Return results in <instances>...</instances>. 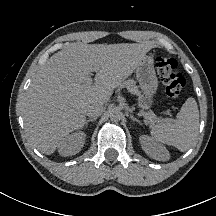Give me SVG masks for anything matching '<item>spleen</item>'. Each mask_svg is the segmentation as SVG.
<instances>
[{
    "mask_svg": "<svg viewBox=\"0 0 216 216\" xmlns=\"http://www.w3.org/2000/svg\"><path fill=\"white\" fill-rule=\"evenodd\" d=\"M198 128V106L196 100L189 97L181 107L174 123L165 121L153 126L151 135L157 141L184 152L194 144Z\"/></svg>",
    "mask_w": 216,
    "mask_h": 216,
    "instance_id": "1",
    "label": "spleen"
}]
</instances>
